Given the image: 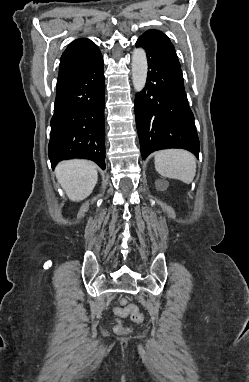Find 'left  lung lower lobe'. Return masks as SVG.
Returning <instances> with one entry per match:
<instances>
[{
	"label": "left lung lower lobe",
	"mask_w": 249,
	"mask_h": 382,
	"mask_svg": "<svg viewBox=\"0 0 249 382\" xmlns=\"http://www.w3.org/2000/svg\"><path fill=\"white\" fill-rule=\"evenodd\" d=\"M136 47L145 49L149 70L145 88L135 99L142 158L167 148L186 149L199 157V139L180 65L141 37Z\"/></svg>",
	"instance_id": "obj_1"
}]
</instances>
